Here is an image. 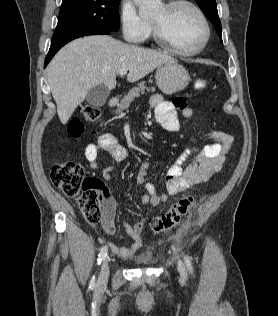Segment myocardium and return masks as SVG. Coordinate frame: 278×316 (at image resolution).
Instances as JSON below:
<instances>
[{
    "label": "myocardium",
    "mask_w": 278,
    "mask_h": 316,
    "mask_svg": "<svg viewBox=\"0 0 278 316\" xmlns=\"http://www.w3.org/2000/svg\"><path fill=\"white\" fill-rule=\"evenodd\" d=\"M180 6L190 7L198 15L199 19L201 20L204 26V30H205V35L201 44L198 47L191 50L183 49L173 42V40L169 37V35L167 34L165 29L161 25L151 21V31H152L153 38L157 43L172 50L173 52L177 54H180L183 56L197 55L205 49V47L207 46L210 40L211 27H210L209 21L205 13L203 12V10L195 2L191 0H170L164 5V8L166 9L167 12H172L173 10H175L176 8Z\"/></svg>",
    "instance_id": "myocardium-1"
}]
</instances>
